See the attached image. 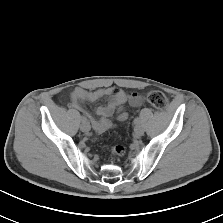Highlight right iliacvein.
Instances as JSON below:
<instances>
[{
    "label": "right iliac vein",
    "instance_id": "63e3f726",
    "mask_svg": "<svg viewBox=\"0 0 223 223\" xmlns=\"http://www.w3.org/2000/svg\"><path fill=\"white\" fill-rule=\"evenodd\" d=\"M80 129H81L82 132L87 133L90 130V124L86 121H83L81 126H80Z\"/></svg>",
    "mask_w": 223,
    "mask_h": 223
}]
</instances>
